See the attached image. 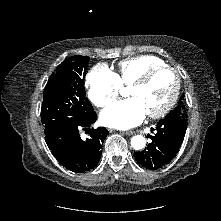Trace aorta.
<instances>
[{"instance_id": "762f6f07", "label": "aorta", "mask_w": 221, "mask_h": 221, "mask_svg": "<svg viewBox=\"0 0 221 221\" xmlns=\"http://www.w3.org/2000/svg\"><path fill=\"white\" fill-rule=\"evenodd\" d=\"M131 145L136 150H141L146 145V140L142 135H135L131 138Z\"/></svg>"}]
</instances>
